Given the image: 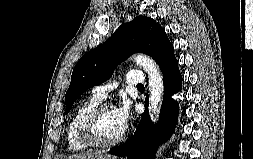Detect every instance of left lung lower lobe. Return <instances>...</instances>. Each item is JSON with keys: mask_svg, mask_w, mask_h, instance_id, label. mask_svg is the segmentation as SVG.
<instances>
[{"mask_svg": "<svg viewBox=\"0 0 253 159\" xmlns=\"http://www.w3.org/2000/svg\"><path fill=\"white\" fill-rule=\"evenodd\" d=\"M160 69L164 76V99L158 124L152 125L147 95L146 110L133 137L125 144L112 148V154L127 156L128 159H154L156 145L168 139L174 130L179 106L171 96L180 91L182 86L176 57L171 56Z\"/></svg>", "mask_w": 253, "mask_h": 159, "instance_id": "1", "label": "left lung lower lobe"}]
</instances>
